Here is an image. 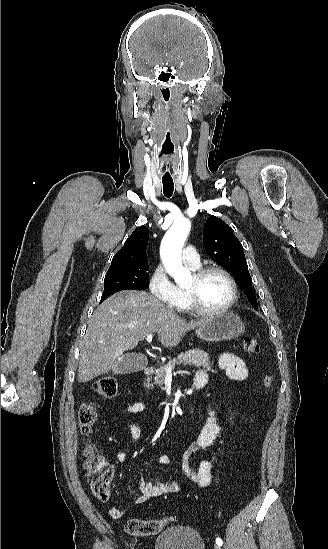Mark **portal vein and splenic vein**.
I'll return each mask as SVG.
<instances>
[{"label": "portal vein and splenic vein", "instance_id": "obj_1", "mask_svg": "<svg viewBox=\"0 0 328 549\" xmlns=\"http://www.w3.org/2000/svg\"><path fill=\"white\" fill-rule=\"evenodd\" d=\"M152 339H153V335H147V337H146L147 343H152ZM153 357H154V355H153ZM166 371L170 375V373L172 371L171 367H167Z\"/></svg>", "mask_w": 328, "mask_h": 549}]
</instances>
